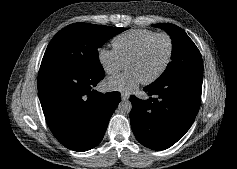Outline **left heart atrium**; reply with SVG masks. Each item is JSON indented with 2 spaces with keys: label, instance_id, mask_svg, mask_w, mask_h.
Returning a JSON list of instances; mask_svg holds the SVG:
<instances>
[{
  "label": "left heart atrium",
  "instance_id": "1",
  "mask_svg": "<svg viewBox=\"0 0 237 169\" xmlns=\"http://www.w3.org/2000/svg\"><path fill=\"white\" fill-rule=\"evenodd\" d=\"M141 82L138 75L133 70H127L122 74L110 77L106 81V86L110 90H131Z\"/></svg>",
  "mask_w": 237,
  "mask_h": 169
}]
</instances>
